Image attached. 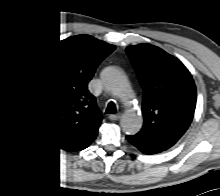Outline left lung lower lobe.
Returning a JSON list of instances; mask_svg holds the SVG:
<instances>
[{
	"label": "left lung lower lobe",
	"instance_id": "0a47b994",
	"mask_svg": "<svg viewBox=\"0 0 220 196\" xmlns=\"http://www.w3.org/2000/svg\"><path fill=\"white\" fill-rule=\"evenodd\" d=\"M128 141L133 144L135 147H137L141 152L145 154H155L162 151H165L161 147L155 145L151 141H149L146 137L136 134L133 136H127Z\"/></svg>",
	"mask_w": 220,
	"mask_h": 196
}]
</instances>
